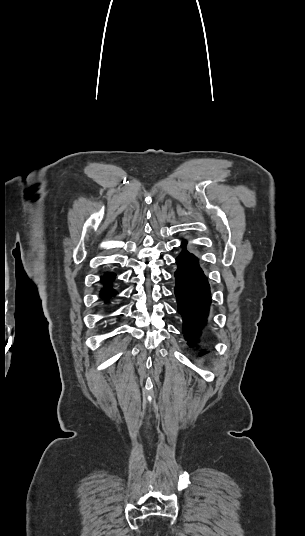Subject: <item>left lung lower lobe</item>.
<instances>
[{
    "label": "left lung lower lobe",
    "mask_w": 305,
    "mask_h": 536,
    "mask_svg": "<svg viewBox=\"0 0 305 536\" xmlns=\"http://www.w3.org/2000/svg\"><path fill=\"white\" fill-rule=\"evenodd\" d=\"M182 248V252L176 258L178 269L174 274L176 280L174 292L178 312L183 317L184 337L192 347L206 326L211 293L198 258L186 250V241L182 242Z\"/></svg>",
    "instance_id": "1"
}]
</instances>
